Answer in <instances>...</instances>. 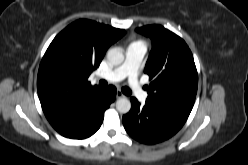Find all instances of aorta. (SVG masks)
<instances>
[{
	"label": "aorta",
	"mask_w": 248,
	"mask_h": 165,
	"mask_svg": "<svg viewBox=\"0 0 248 165\" xmlns=\"http://www.w3.org/2000/svg\"><path fill=\"white\" fill-rule=\"evenodd\" d=\"M107 59L112 65H120L124 61L123 53L116 48L110 49L107 52ZM116 109L120 113H128L131 109V102L127 98H120L116 102Z\"/></svg>",
	"instance_id": "aorta-1"
}]
</instances>
